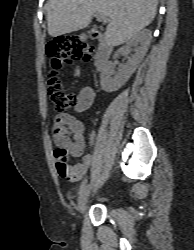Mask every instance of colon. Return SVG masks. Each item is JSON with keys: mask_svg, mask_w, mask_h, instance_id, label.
<instances>
[{"mask_svg": "<svg viewBox=\"0 0 194 250\" xmlns=\"http://www.w3.org/2000/svg\"><path fill=\"white\" fill-rule=\"evenodd\" d=\"M93 47L87 45L80 36L71 35L61 37L57 41L47 45L46 53L49 58L50 79L48 81V93L59 113L76 108L78 98L72 92L63 88L56 78L64 64L73 62H90ZM54 156L57 164L66 171L68 164L67 152L64 149H56Z\"/></svg>", "mask_w": 194, "mask_h": 250, "instance_id": "obj_1", "label": "colon"}]
</instances>
